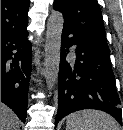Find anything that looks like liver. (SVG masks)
<instances>
[{"label": "liver", "mask_w": 123, "mask_h": 130, "mask_svg": "<svg viewBox=\"0 0 123 130\" xmlns=\"http://www.w3.org/2000/svg\"><path fill=\"white\" fill-rule=\"evenodd\" d=\"M20 122L15 113L1 103V130H19Z\"/></svg>", "instance_id": "obj_1"}]
</instances>
